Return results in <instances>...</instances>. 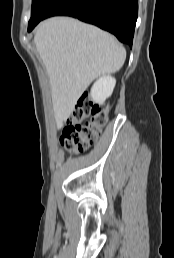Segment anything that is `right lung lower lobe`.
Returning a JSON list of instances; mask_svg holds the SVG:
<instances>
[{
	"label": "right lung lower lobe",
	"mask_w": 174,
	"mask_h": 258,
	"mask_svg": "<svg viewBox=\"0 0 174 258\" xmlns=\"http://www.w3.org/2000/svg\"><path fill=\"white\" fill-rule=\"evenodd\" d=\"M58 15L94 24L132 47L138 0H58L45 18Z\"/></svg>",
	"instance_id": "obj_1"
}]
</instances>
